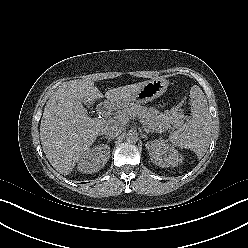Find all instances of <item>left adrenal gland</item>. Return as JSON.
Returning <instances> with one entry per match:
<instances>
[{"label": "left adrenal gland", "mask_w": 248, "mask_h": 248, "mask_svg": "<svg viewBox=\"0 0 248 248\" xmlns=\"http://www.w3.org/2000/svg\"><path fill=\"white\" fill-rule=\"evenodd\" d=\"M144 131H145V133H146V135L149 133V132H153V131H150V130H148V129H144Z\"/></svg>", "instance_id": "a2214340"}]
</instances>
